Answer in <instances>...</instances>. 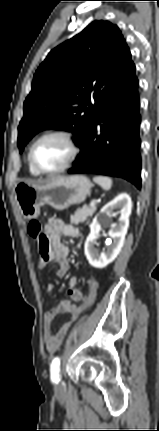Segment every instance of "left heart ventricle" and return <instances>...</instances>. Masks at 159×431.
Here are the masks:
<instances>
[{"mask_svg":"<svg viewBox=\"0 0 159 431\" xmlns=\"http://www.w3.org/2000/svg\"><path fill=\"white\" fill-rule=\"evenodd\" d=\"M70 156L66 141L59 137L44 139L34 149L35 163L44 170H54L62 166Z\"/></svg>","mask_w":159,"mask_h":431,"instance_id":"left-heart-ventricle-1","label":"left heart ventricle"}]
</instances>
